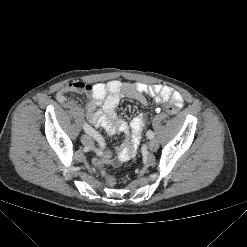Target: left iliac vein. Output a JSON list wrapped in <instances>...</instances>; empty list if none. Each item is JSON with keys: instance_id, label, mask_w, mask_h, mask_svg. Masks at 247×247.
<instances>
[{"instance_id": "obj_1", "label": "left iliac vein", "mask_w": 247, "mask_h": 247, "mask_svg": "<svg viewBox=\"0 0 247 247\" xmlns=\"http://www.w3.org/2000/svg\"><path fill=\"white\" fill-rule=\"evenodd\" d=\"M148 147L150 151H156L159 147V143L156 139H151L148 144Z\"/></svg>"}]
</instances>
